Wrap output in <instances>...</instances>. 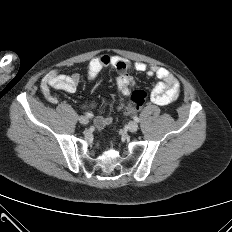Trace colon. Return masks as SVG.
I'll return each instance as SVG.
<instances>
[{"label": "colon", "mask_w": 232, "mask_h": 232, "mask_svg": "<svg viewBox=\"0 0 232 232\" xmlns=\"http://www.w3.org/2000/svg\"><path fill=\"white\" fill-rule=\"evenodd\" d=\"M147 93L144 90L137 89L131 93V100L122 111V117H127L133 109H139L145 102ZM118 123H123V118H118Z\"/></svg>", "instance_id": "5ec220e1"}]
</instances>
